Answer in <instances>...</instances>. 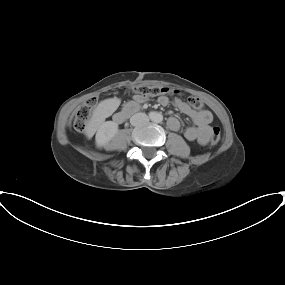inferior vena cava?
Returning a JSON list of instances; mask_svg holds the SVG:
<instances>
[{"label": "inferior vena cava", "mask_w": 285, "mask_h": 285, "mask_svg": "<svg viewBox=\"0 0 285 285\" xmlns=\"http://www.w3.org/2000/svg\"><path fill=\"white\" fill-rule=\"evenodd\" d=\"M149 121V117L145 113H136L130 118V123L133 126H139Z\"/></svg>", "instance_id": "1"}]
</instances>
